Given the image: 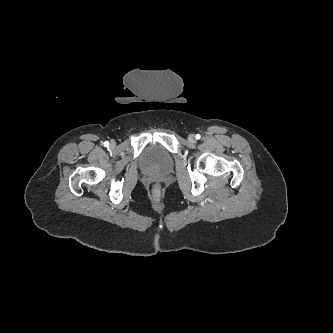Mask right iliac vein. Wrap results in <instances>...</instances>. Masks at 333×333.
Returning a JSON list of instances; mask_svg holds the SVG:
<instances>
[{"label":"right iliac vein","instance_id":"63e3f726","mask_svg":"<svg viewBox=\"0 0 333 333\" xmlns=\"http://www.w3.org/2000/svg\"><path fill=\"white\" fill-rule=\"evenodd\" d=\"M114 145H115L114 142H112V143H111V146L113 147Z\"/></svg>","mask_w":333,"mask_h":333}]
</instances>
